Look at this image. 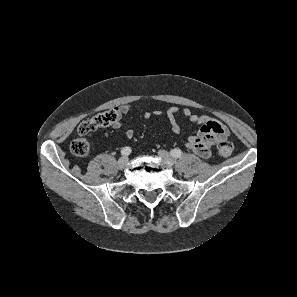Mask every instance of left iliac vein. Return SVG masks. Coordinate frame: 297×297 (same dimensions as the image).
<instances>
[{
	"mask_svg": "<svg viewBox=\"0 0 297 297\" xmlns=\"http://www.w3.org/2000/svg\"><path fill=\"white\" fill-rule=\"evenodd\" d=\"M158 156L160 158L166 160L170 165H174L175 164V160H174L173 156L169 152H167L165 150H160L158 152Z\"/></svg>",
	"mask_w": 297,
	"mask_h": 297,
	"instance_id": "left-iliac-vein-1",
	"label": "left iliac vein"
}]
</instances>
